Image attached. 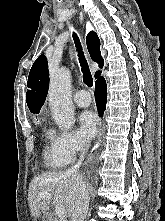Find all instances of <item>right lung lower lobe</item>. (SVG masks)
Wrapping results in <instances>:
<instances>
[{"label": "right lung lower lobe", "instance_id": "obj_1", "mask_svg": "<svg viewBox=\"0 0 165 221\" xmlns=\"http://www.w3.org/2000/svg\"><path fill=\"white\" fill-rule=\"evenodd\" d=\"M95 100L98 108L99 115H102L106 109L107 101V87L103 77H100L95 82Z\"/></svg>", "mask_w": 165, "mask_h": 221}]
</instances>
